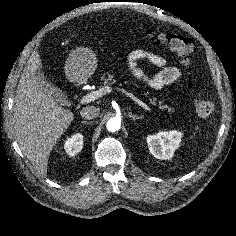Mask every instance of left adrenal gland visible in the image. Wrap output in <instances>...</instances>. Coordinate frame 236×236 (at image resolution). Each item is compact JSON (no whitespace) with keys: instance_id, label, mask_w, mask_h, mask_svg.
Returning a JSON list of instances; mask_svg holds the SVG:
<instances>
[{"instance_id":"1","label":"left adrenal gland","mask_w":236,"mask_h":236,"mask_svg":"<svg viewBox=\"0 0 236 236\" xmlns=\"http://www.w3.org/2000/svg\"><path fill=\"white\" fill-rule=\"evenodd\" d=\"M128 116H129L133 121L143 118V115H141V116L134 115V114H132V112H129V113H128Z\"/></svg>"}]
</instances>
